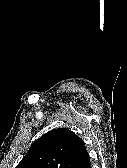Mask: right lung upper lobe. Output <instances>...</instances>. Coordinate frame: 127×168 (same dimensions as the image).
Wrapping results in <instances>:
<instances>
[{
    "mask_svg": "<svg viewBox=\"0 0 127 168\" xmlns=\"http://www.w3.org/2000/svg\"><path fill=\"white\" fill-rule=\"evenodd\" d=\"M89 160L84 141L68 128L37 139L16 168H77Z\"/></svg>",
    "mask_w": 127,
    "mask_h": 168,
    "instance_id": "1",
    "label": "right lung upper lobe"
}]
</instances>
